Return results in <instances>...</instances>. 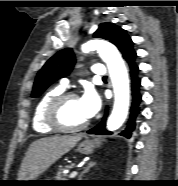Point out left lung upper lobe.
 <instances>
[{
    "instance_id": "1",
    "label": "left lung upper lobe",
    "mask_w": 178,
    "mask_h": 186,
    "mask_svg": "<svg viewBox=\"0 0 178 186\" xmlns=\"http://www.w3.org/2000/svg\"><path fill=\"white\" fill-rule=\"evenodd\" d=\"M93 36L106 39L116 45L126 60L136 54L132 48L133 42L125 30L112 23L100 24ZM74 64L75 57L70 48L63 49L53 55L38 72L32 97L40 96L56 80L66 77L73 69Z\"/></svg>"
}]
</instances>
